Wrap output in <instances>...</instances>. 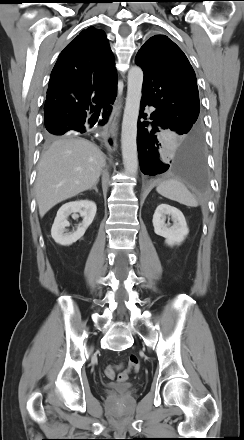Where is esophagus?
Returning <instances> with one entry per match:
<instances>
[{
    "mask_svg": "<svg viewBox=\"0 0 244 440\" xmlns=\"http://www.w3.org/2000/svg\"><path fill=\"white\" fill-rule=\"evenodd\" d=\"M121 106H122V98L119 97L115 102V105L113 107L112 114L110 117L109 124L107 125V128H106L105 144L108 147V149L111 151H115L117 148L116 129H117V123L119 120Z\"/></svg>",
    "mask_w": 244,
    "mask_h": 440,
    "instance_id": "34e87169",
    "label": "esophagus"
}]
</instances>
